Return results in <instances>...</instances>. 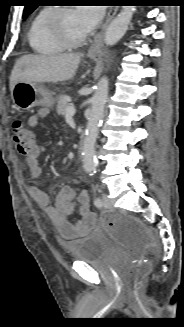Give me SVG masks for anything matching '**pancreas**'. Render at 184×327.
Returning <instances> with one entry per match:
<instances>
[{
	"label": "pancreas",
	"mask_w": 184,
	"mask_h": 327,
	"mask_svg": "<svg viewBox=\"0 0 184 327\" xmlns=\"http://www.w3.org/2000/svg\"><path fill=\"white\" fill-rule=\"evenodd\" d=\"M70 97L67 95H60L57 99V113L59 115H65L66 109L71 106Z\"/></svg>",
	"instance_id": "obj_1"
}]
</instances>
